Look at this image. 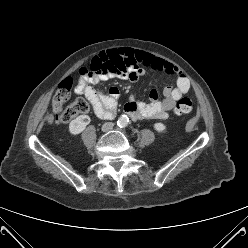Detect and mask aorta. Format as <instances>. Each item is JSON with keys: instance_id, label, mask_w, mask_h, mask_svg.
Segmentation results:
<instances>
[{"instance_id": "obj_1", "label": "aorta", "mask_w": 248, "mask_h": 248, "mask_svg": "<svg viewBox=\"0 0 248 248\" xmlns=\"http://www.w3.org/2000/svg\"><path fill=\"white\" fill-rule=\"evenodd\" d=\"M128 122H129V118L126 115H122L119 117V119L117 121V125L119 127H125V126H127Z\"/></svg>"}]
</instances>
